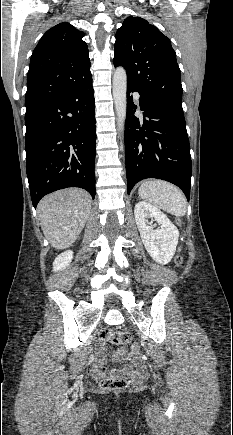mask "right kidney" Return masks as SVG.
<instances>
[{
	"mask_svg": "<svg viewBox=\"0 0 233 435\" xmlns=\"http://www.w3.org/2000/svg\"><path fill=\"white\" fill-rule=\"evenodd\" d=\"M73 259V252L68 250L60 255H58L53 262V271L63 270L68 266Z\"/></svg>",
	"mask_w": 233,
	"mask_h": 435,
	"instance_id": "obj_1",
	"label": "right kidney"
}]
</instances>
